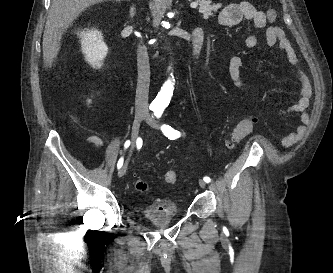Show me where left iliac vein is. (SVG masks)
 <instances>
[{"mask_svg": "<svg viewBox=\"0 0 333 273\" xmlns=\"http://www.w3.org/2000/svg\"><path fill=\"white\" fill-rule=\"evenodd\" d=\"M145 121L148 125H150L152 128L160 129V124L154 120L148 113L145 114ZM199 185L202 188L206 187V182L204 180H199Z\"/></svg>", "mask_w": 333, "mask_h": 273, "instance_id": "4c4485c4", "label": "left iliac vein"}]
</instances>
